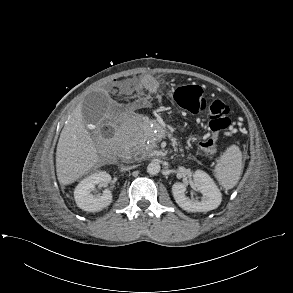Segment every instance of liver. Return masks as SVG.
<instances>
[{"mask_svg":"<svg viewBox=\"0 0 293 293\" xmlns=\"http://www.w3.org/2000/svg\"><path fill=\"white\" fill-rule=\"evenodd\" d=\"M99 161L94 142L86 130L81 105L69 116L57 144L56 173L60 185H68Z\"/></svg>","mask_w":293,"mask_h":293,"instance_id":"liver-1","label":"liver"}]
</instances>
